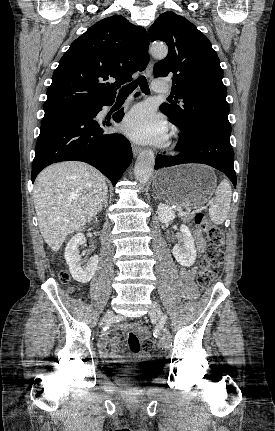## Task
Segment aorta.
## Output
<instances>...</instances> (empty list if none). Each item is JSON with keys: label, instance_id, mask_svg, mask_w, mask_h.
Segmentation results:
<instances>
[{"label": "aorta", "instance_id": "obj_1", "mask_svg": "<svg viewBox=\"0 0 275 431\" xmlns=\"http://www.w3.org/2000/svg\"><path fill=\"white\" fill-rule=\"evenodd\" d=\"M151 54L156 58H164L168 49L163 44H153L150 48ZM155 166V156L153 152L145 150L139 154L135 163L134 175L140 184H146L150 179Z\"/></svg>", "mask_w": 275, "mask_h": 431}]
</instances>
